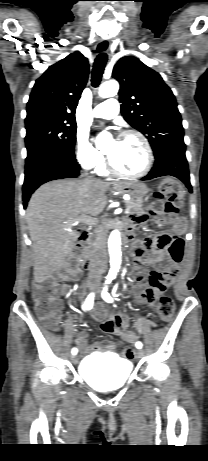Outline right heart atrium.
Here are the masks:
<instances>
[{
	"mask_svg": "<svg viewBox=\"0 0 208 461\" xmlns=\"http://www.w3.org/2000/svg\"><path fill=\"white\" fill-rule=\"evenodd\" d=\"M75 156L79 165L85 170L99 168L103 163V154L98 151L84 134L76 139Z\"/></svg>",
	"mask_w": 208,
	"mask_h": 461,
	"instance_id": "d8ad5b80",
	"label": "right heart atrium"
}]
</instances>
